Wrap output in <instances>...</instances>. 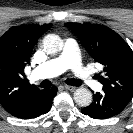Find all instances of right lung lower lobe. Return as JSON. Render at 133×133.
Masks as SVG:
<instances>
[{
    "instance_id": "1",
    "label": "right lung lower lobe",
    "mask_w": 133,
    "mask_h": 133,
    "mask_svg": "<svg viewBox=\"0 0 133 133\" xmlns=\"http://www.w3.org/2000/svg\"><path fill=\"white\" fill-rule=\"evenodd\" d=\"M57 93V88L42 90L30 103L25 111L13 114V116L24 119L36 118L47 113L52 105V100Z\"/></svg>"
}]
</instances>
